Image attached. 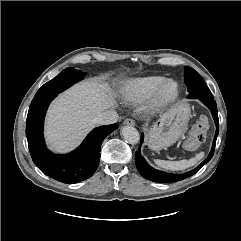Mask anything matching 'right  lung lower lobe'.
<instances>
[{
    "instance_id": "98d812e1",
    "label": "right lung lower lobe",
    "mask_w": 241,
    "mask_h": 241,
    "mask_svg": "<svg viewBox=\"0 0 241 241\" xmlns=\"http://www.w3.org/2000/svg\"><path fill=\"white\" fill-rule=\"evenodd\" d=\"M56 96L32 100L26 124L28 147L33 162L45 175L64 183L80 182L94 174L100 160L101 144L118 125L97 127L75 151L66 155H55L46 148L43 123L47 108Z\"/></svg>"
}]
</instances>
